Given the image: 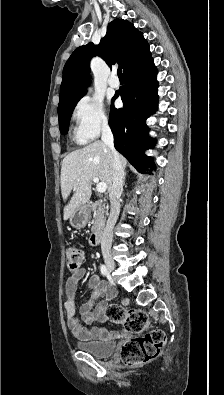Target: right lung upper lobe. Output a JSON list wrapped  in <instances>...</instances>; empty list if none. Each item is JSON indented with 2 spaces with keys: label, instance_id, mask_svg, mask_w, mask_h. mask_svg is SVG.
I'll return each instance as SVG.
<instances>
[{
  "label": "right lung upper lobe",
  "instance_id": "obj_1",
  "mask_svg": "<svg viewBox=\"0 0 224 395\" xmlns=\"http://www.w3.org/2000/svg\"><path fill=\"white\" fill-rule=\"evenodd\" d=\"M149 51V45L132 23L123 19L113 20L99 45L88 43L77 48L63 70L58 109L66 106L79 95L86 93L89 84L90 59L100 56L110 66L118 62L123 72Z\"/></svg>",
  "mask_w": 224,
  "mask_h": 395
}]
</instances>
